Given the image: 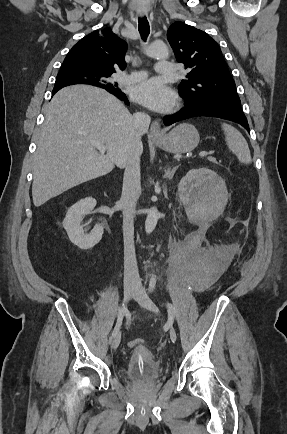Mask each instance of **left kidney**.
Listing matches in <instances>:
<instances>
[{
	"label": "left kidney",
	"instance_id": "obj_1",
	"mask_svg": "<svg viewBox=\"0 0 287 434\" xmlns=\"http://www.w3.org/2000/svg\"><path fill=\"white\" fill-rule=\"evenodd\" d=\"M178 192L184 205L213 210L209 218L218 216L228 200L225 181L208 168L190 170L179 182Z\"/></svg>",
	"mask_w": 287,
	"mask_h": 434
}]
</instances>
